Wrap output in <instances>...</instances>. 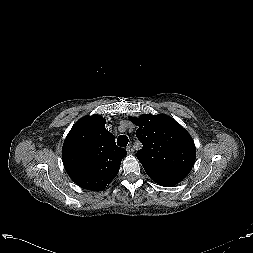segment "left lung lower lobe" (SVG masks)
Masks as SVG:
<instances>
[{"label": "left lung lower lobe", "mask_w": 253, "mask_h": 253, "mask_svg": "<svg viewBox=\"0 0 253 253\" xmlns=\"http://www.w3.org/2000/svg\"><path fill=\"white\" fill-rule=\"evenodd\" d=\"M147 175L156 183L163 186H173L183 180L187 174L160 171V170H145Z\"/></svg>", "instance_id": "0a47b994"}]
</instances>
